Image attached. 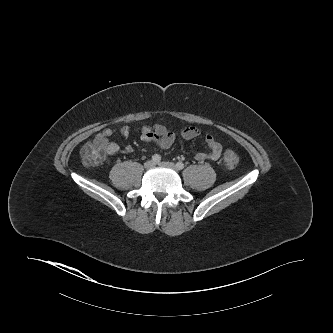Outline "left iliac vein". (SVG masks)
Segmentation results:
<instances>
[{"mask_svg": "<svg viewBox=\"0 0 333 333\" xmlns=\"http://www.w3.org/2000/svg\"><path fill=\"white\" fill-rule=\"evenodd\" d=\"M159 166H162V167H167V168H170V169H173L175 171H177V167L175 164L171 163V162H160L158 163Z\"/></svg>", "mask_w": 333, "mask_h": 333, "instance_id": "obj_1", "label": "left iliac vein"}]
</instances>
